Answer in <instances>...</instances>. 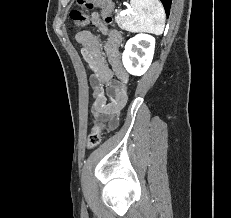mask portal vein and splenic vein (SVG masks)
<instances>
[{
	"instance_id": "18ae733b",
	"label": "portal vein and splenic vein",
	"mask_w": 231,
	"mask_h": 218,
	"mask_svg": "<svg viewBox=\"0 0 231 218\" xmlns=\"http://www.w3.org/2000/svg\"><path fill=\"white\" fill-rule=\"evenodd\" d=\"M130 12H131V9L122 10V11H120V16H125L126 14H128Z\"/></svg>"
}]
</instances>
